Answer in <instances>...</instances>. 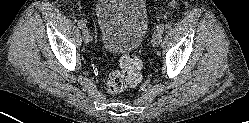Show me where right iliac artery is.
<instances>
[{
	"label": "right iliac artery",
	"instance_id": "obj_1",
	"mask_svg": "<svg viewBox=\"0 0 249 123\" xmlns=\"http://www.w3.org/2000/svg\"><path fill=\"white\" fill-rule=\"evenodd\" d=\"M77 24H78V26H79L80 28H85V27H86V24H85V22H84L83 20H78V21H77Z\"/></svg>",
	"mask_w": 249,
	"mask_h": 123
}]
</instances>
